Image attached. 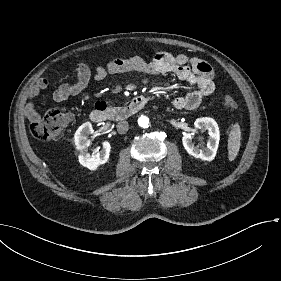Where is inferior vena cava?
I'll use <instances>...</instances> for the list:
<instances>
[{
	"mask_svg": "<svg viewBox=\"0 0 281 281\" xmlns=\"http://www.w3.org/2000/svg\"><path fill=\"white\" fill-rule=\"evenodd\" d=\"M119 134H125L128 131L129 124L127 121H120L116 125Z\"/></svg>",
	"mask_w": 281,
	"mask_h": 281,
	"instance_id": "1",
	"label": "inferior vena cava"
}]
</instances>
